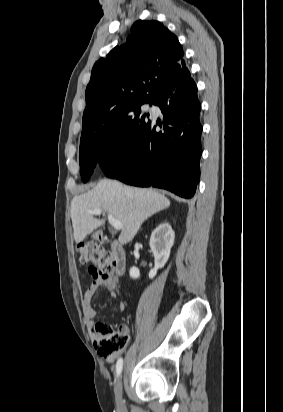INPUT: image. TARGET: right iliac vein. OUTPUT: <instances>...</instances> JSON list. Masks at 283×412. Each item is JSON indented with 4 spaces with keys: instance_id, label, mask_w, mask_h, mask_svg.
I'll list each match as a JSON object with an SVG mask.
<instances>
[{
    "instance_id": "1",
    "label": "right iliac vein",
    "mask_w": 283,
    "mask_h": 412,
    "mask_svg": "<svg viewBox=\"0 0 283 412\" xmlns=\"http://www.w3.org/2000/svg\"><path fill=\"white\" fill-rule=\"evenodd\" d=\"M115 401L117 408L122 410L124 407V401L122 398V376L117 380L115 386Z\"/></svg>"
}]
</instances>
